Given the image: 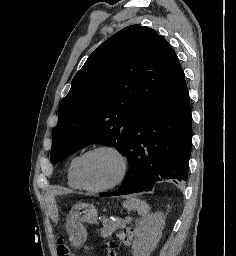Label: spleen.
<instances>
[{
    "instance_id": "1",
    "label": "spleen",
    "mask_w": 236,
    "mask_h": 256,
    "mask_svg": "<svg viewBox=\"0 0 236 256\" xmlns=\"http://www.w3.org/2000/svg\"><path fill=\"white\" fill-rule=\"evenodd\" d=\"M124 208L127 210H137L138 214H147V210L149 208L146 202H142V200H137V198H131V200H125L123 202Z\"/></svg>"
}]
</instances>
